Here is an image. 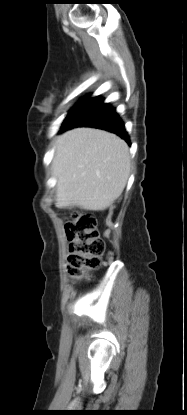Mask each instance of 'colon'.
Wrapping results in <instances>:
<instances>
[{
  "instance_id": "1",
  "label": "colon",
  "mask_w": 187,
  "mask_h": 415,
  "mask_svg": "<svg viewBox=\"0 0 187 415\" xmlns=\"http://www.w3.org/2000/svg\"><path fill=\"white\" fill-rule=\"evenodd\" d=\"M69 242L67 258L71 277L81 279L100 267L105 244L97 230L96 218L90 213H76L66 223Z\"/></svg>"
}]
</instances>
